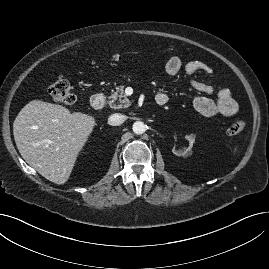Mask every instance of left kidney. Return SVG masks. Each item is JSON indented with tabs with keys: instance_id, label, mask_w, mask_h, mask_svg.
I'll use <instances>...</instances> for the list:
<instances>
[{
	"instance_id": "left-kidney-1",
	"label": "left kidney",
	"mask_w": 269,
	"mask_h": 269,
	"mask_svg": "<svg viewBox=\"0 0 269 269\" xmlns=\"http://www.w3.org/2000/svg\"><path fill=\"white\" fill-rule=\"evenodd\" d=\"M185 138L188 141V147H185L183 149H177L174 146L173 149H172V152L176 156H182L183 158H187L188 156H190V154H191V148H192L193 143L195 141V135L194 134H190V135L186 136Z\"/></svg>"
}]
</instances>
